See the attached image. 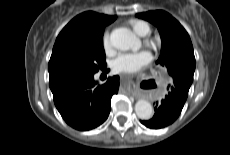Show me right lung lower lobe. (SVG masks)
<instances>
[{"label": "right lung lower lobe", "instance_id": "98d812e1", "mask_svg": "<svg viewBox=\"0 0 230 155\" xmlns=\"http://www.w3.org/2000/svg\"><path fill=\"white\" fill-rule=\"evenodd\" d=\"M95 73H75L50 77L54 103L67 124L81 131L101 125L108 117L110 101L118 92L119 77H110L103 85Z\"/></svg>", "mask_w": 230, "mask_h": 155}]
</instances>
